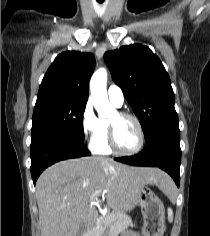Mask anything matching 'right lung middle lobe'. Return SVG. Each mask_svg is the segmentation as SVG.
<instances>
[{"label":"right lung middle lobe","mask_w":210,"mask_h":236,"mask_svg":"<svg viewBox=\"0 0 210 236\" xmlns=\"http://www.w3.org/2000/svg\"><path fill=\"white\" fill-rule=\"evenodd\" d=\"M85 101L49 99L37 102L33 113L32 138L61 134L83 141Z\"/></svg>","instance_id":"obj_1"}]
</instances>
